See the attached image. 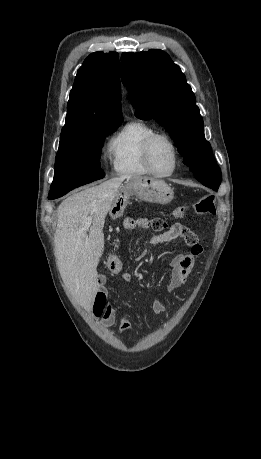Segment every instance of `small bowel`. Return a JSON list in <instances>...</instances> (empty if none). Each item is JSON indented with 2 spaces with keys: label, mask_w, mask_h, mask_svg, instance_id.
Masks as SVG:
<instances>
[{
  "label": "small bowel",
  "mask_w": 261,
  "mask_h": 459,
  "mask_svg": "<svg viewBox=\"0 0 261 459\" xmlns=\"http://www.w3.org/2000/svg\"><path fill=\"white\" fill-rule=\"evenodd\" d=\"M124 226L129 230L137 228L147 229L149 227V221L145 218H130L125 221ZM178 238L184 239L191 246V253L186 255H177L171 260V276L167 286L168 292H173L186 283L193 270L195 256L202 252V246L199 243L198 238L187 227L181 224H174L165 232L153 235L149 240L150 244L157 245L171 242ZM131 279L132 276L130 273L126 272L121 275V280L123 282H130ZM105 281V277L99 278L101 286L96 293L95 302L98 299L102 301L103 309L98 317L101 318V324L108 327L115 323L117 313L109 304L106 303V291L103 287ZM151 309L157 315H162L166 312V308L163 303L156 298L153 299L151 303ZM119 322L120 328L123 332L133 333L132 325L126 315H121Z\"/></svg>",
  "instance_id": "small-bowel-1"
}]
</instances>
